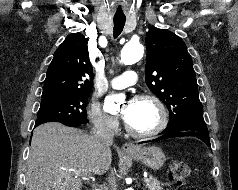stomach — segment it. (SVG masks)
<instances>
[{"instance_id": "1", "label": "stomach", "mask_w": 238, "mask_h": 190, "mask_svg": "<svg viewBox=\"0 0 238 190\" xmlns=\"http://www.w3.org/2000/svg\"><path fill=\"white\" fill-rule=\"evenodd\" d=\"M127 155L152 170L160 169L166 160L163 151L156 146L139 147L136 151L127 153Z\"/></svg>"}]
</instances>
